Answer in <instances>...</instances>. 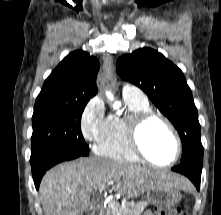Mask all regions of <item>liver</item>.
Returning <instances> with one entry per match:
<instances>
[{
	"label": "liver",
	"instance_id": "liver-1",
	"mask_svg": "<svg viewBox=\"0 0 221 215\" xmlns=\"http://www.w3.org/2000/svg\"><path fill=\"white\" fill-rule=\"evenodd\" d=\"M107 183L114 184V190L126 199L155 185L189 187V182L175 173L102 158H79L44 175L39 188L44 215H84L90 194Z\"/></svg>",
	"mask_w": 221,
	"mask_h": 215
}]
</instances>
